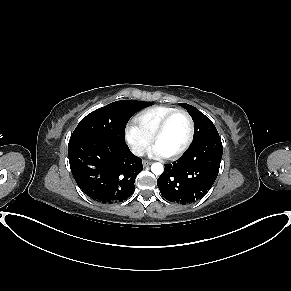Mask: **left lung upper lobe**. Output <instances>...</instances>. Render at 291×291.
<instances>
[{"label":"left lung upper lobe","instance_id":"left-lung-upper-lobe-1","mask_svg":"<svg viewBox=\"0 0 291 291\" xmlns=\"http://www.w3.org/2000/svg\"><path fill=\"white\" fill-rule=\"evenodd\" d=\"M179 105L188 111L194 121L195 128L193 143H197L209 137L219 135L212 121L202 112L189 104L179 103Z\"/></svg>","mask_w":291,"mask_h":291}]
</instances>
